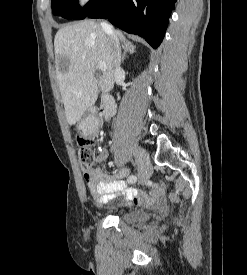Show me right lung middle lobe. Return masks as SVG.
Masks as SVG:
<instances>
[{
    "instance_id": "1",
    "label": "right lung middle lobe",
    "mask_w": 247,
    "mask_h": 275,
    "mask_svg": "<svg viewBox=\"0 0 247 275\" xmlns=\"http://www.w3.org/2000/svg\"><path fill=\"white\" fill-rule=\"evenodd\" d=\"M105 0H90L83 8L78 0H52L53 13L67 19H84Z\"/></svg>"
}]
</instances>
